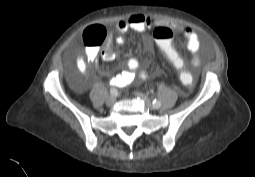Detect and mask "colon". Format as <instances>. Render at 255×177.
<instances>
[{"mask_svg":"<svg viewBox=\"0 0 255 177\" xmlns=\"http://www.w3.org/2000/svg\"><path fill=\"white\" fill-rule=\"evenodd\" d=\"M154 38L158 47L168 64L176 71L182 85H189L195 81V74L189 72L185 58L179 53L173 44V31L168 27H158L154 31ZM107 37V31L102 26H93L84 33V41L89 47L96 48L101 45Z\"/></svg>","mask_w":255,"mask_h":177,"instance_id":"obj_1","label":"colon"}]
</instances>
